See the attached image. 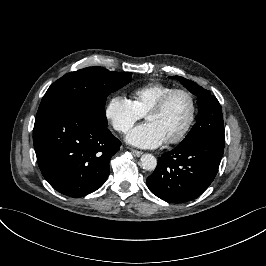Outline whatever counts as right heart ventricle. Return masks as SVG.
Wrapping results in <instances>:
<instances>
[{
	"label": "right heart ventricle",
	"mask_w": 266,
	"mask_h": 266,
	"mask_svg": "<svg viewBox=\"0 0 266 266\" xmlns=\"http://www.w3.org/2000/svg\"><path fill=\"white\" fill-rule=\"evenodd\" d=\"M174 87L160 82H152L134 88L131 100L136 109L143 115L158 99Z\"/></svg>",
	"instance_id": "e07e8e85"
}]
</instances>
